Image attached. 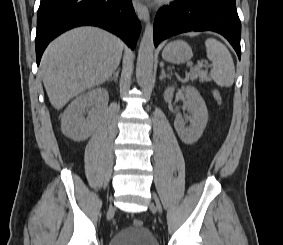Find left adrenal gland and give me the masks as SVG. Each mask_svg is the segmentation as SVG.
Wrapping results in <instances>:
<instances>
[{"mask_svg":"<svg viewBox=\"0 0 283 245\" xmlns=\"http://www.w3.org/2000/svg\"><path fill=\"white\" fill-rule=\"evenodd\" d=\"M165 77L171 78V76H170L169 74H166V73H165V70L162 69V70H161L160 77H159V80H163Z\"/></svg>","mask_w":283,"mask_h":245,"instance_id":"obj_1","label":"left adrenal gland"}]
</instances>
